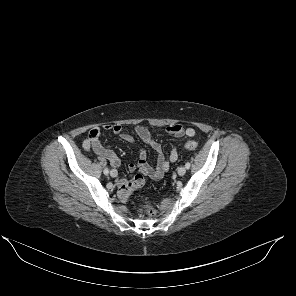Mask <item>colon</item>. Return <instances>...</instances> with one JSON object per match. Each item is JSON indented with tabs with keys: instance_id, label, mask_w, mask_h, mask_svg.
I'll return each mask as SVG.
<instances>
[{
	"instance_id": "1",
	"label": "colon",
	"mask_w": 296,
	"mask_h": 296,
	"mask_svg": "<svg viewBox=\"0 0 296 296\" xmlns=\"http://www.w3.org/2000/svg\"><path fill=\"white\" fill-rule=\"evenodd\" d=\"M198 147V143L196 141H188L185 143V148L188 150H194ZM144 184V176L142 174H137L132 180L122 184L119 188L118 195L122 201L128 200L132 191L135 188H139ZM139 212L145 213L149 216H153L155 214V209L145 203L138 208Z\"/></svg>"
}]
</instances>
